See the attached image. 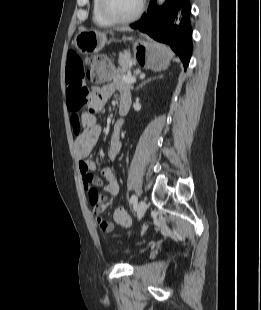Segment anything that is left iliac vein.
<instances>
[{
	"mask_svg": "<svg viewBox=\"0 0 261 310\" xmlns=\"http://www.w3.org/2000/svg\"><path fill=\"white\" fill-rule=\"evenodd\" d=\"M146 209H147V205H146V202L141 200L138 205H137V210H136V215H137V219L140 220L145 212H146Z\"/></svg>",
	"mask_w": 261,
	"mask_h": 310,
	"instance_id": "4c4485c4",
	"label": "left iliac vein"
}]
</instances>
